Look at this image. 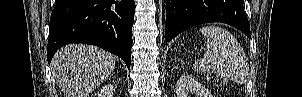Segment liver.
Segmentation results:
<instances>
[{
    "mask_svg": "<svg viewBox=\"0 0 302 97\" xmlns=\"http://www.w3.org/2000/svg\"><path fill=\"white\" fill-rule=\"evenodd\" d=\"M52 75L66 97H88L115 68V57L92 45H67L52 59Z\"/></svg>",
    "mask_w": 302,
    "mask_h": 97,
    "instance_id": "liver-1",
    "label": "liver"
}]
</instances>
